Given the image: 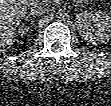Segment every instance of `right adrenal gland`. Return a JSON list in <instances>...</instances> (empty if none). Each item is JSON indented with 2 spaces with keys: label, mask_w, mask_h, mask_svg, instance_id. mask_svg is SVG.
<instances>
[{
  "label": "right adrenal gland",
  "mask_w": 111,
  "mask_h": 106,
  "mask_svg": "<svg viewBox=\"0 0 111 106\" xmlns=\"http://www.w3.org/2000/svg\"><path fill=\"white\" fill-rule=\"evenodd\" d=\"M30 16L37 17L38 15L33 14V13H29L28 16L25 17V19L27 20V18H29Z\"/></svg>",
  "instance_id": "1"
}]
</instances>
